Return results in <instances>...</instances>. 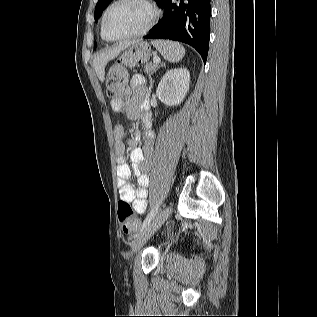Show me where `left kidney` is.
<instances>
[{
	"mask_svg": "<svg viewBox=\"0 0 317 317\" xmlns=\"http://www.w3.org/2000/svg\"><path fill=\"white\" fill-rule=\"evenodd\" d=\"M189 83L190 73L186 68L171 69L162 77L156 95L167 105H179L189 90Z\"/></svg>",
	"mask_w": 317,
	"mask_h": 317,
	"instance_id": "obj_1",
	"label": "left kidney"
}]
</instances>
